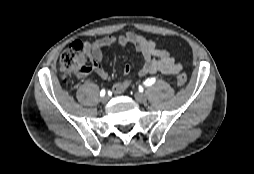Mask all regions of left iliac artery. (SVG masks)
<instances>
[{
    "instance_id": "1",
    "label": "left iliac artery",
    "mask_w": 254,
    "mask_h": 174,
    "mask_svg": "<svg viewBox=\"0 0 254 174\" xmlns=\"http://www.w3.org/2000/svg\"><path fill=\"white\" fill-rule=\"evenodd\" d=\"M156 79L155 78H148L145 82L144 85L145 86H151L155 83Z\"/></svg>"
}]
</instances>
